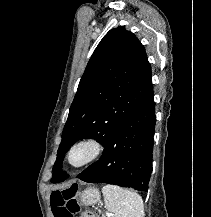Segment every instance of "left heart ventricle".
Instances as JSON below:
<instances>
[{"label":"left heart ventricle","mask_w":211,"mask_h":217,"mask_svg":"<svg viewBox=\"0 0 211 217\" xmlns=\"http://www.w3.org/2000/svg\"><path fill=\"white\" fill-rule=\"evenodd\" d=\"M90 150L86 147H79L72 153L71 160L74 164L82 162L88 155Z\"/></svg>","instance_id":"left-heart-ventricle-1"}]
</instances>
